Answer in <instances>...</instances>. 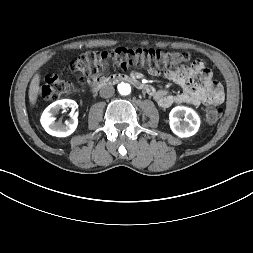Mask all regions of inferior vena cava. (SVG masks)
Here are the masks:
<instances>
[{
	"mask_svg": "<svg viewBox=\"0 0 253 253\" xmlns=\"http://www.w3.org/2000/svg\"><path fill=\"white\" fill-rule=\"evenodd\" d=\"M115 89L113 86L106 85L100 89V96L103 98H109L113 96Z\"/></svg>",
	"mask_w": 253,
	"mask_h": 253,
	"instance_id": "1",
	"label": "inferior vena cava"
}]
</instances>
